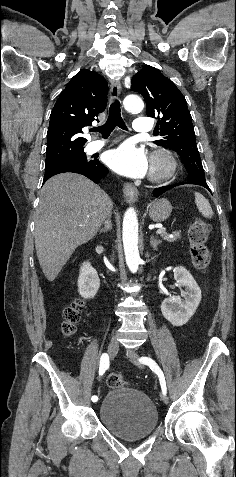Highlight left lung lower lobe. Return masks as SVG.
I'll return each instance as SVG.
<instances>
[{
	"label": "left lung lower lobe",
	"instance_id": "1",
	"mask_svg": "<svg viewBox=\"0 0 236 477\" xmlns=\"http://www.w3.org/2000/svg\"><path fill=\"white\" fill-rule=\"evenodd\" d=\"M189 183V182H187ZM182 184H186V182H180V183H177L175 185H168V186H163V187H160V188H156L154 191H153V195L155 197H158L160 196L161 194H163L164 192H166L167 190L177 186V185H182ZM189 184H192V183H189ZM196 185H200V186H203L205 187L206 189L210 190L207 183H202V184H196Z\"/></svg>",
	"mask_w": 236,
	"mask_h": 477
}]
</instances>
